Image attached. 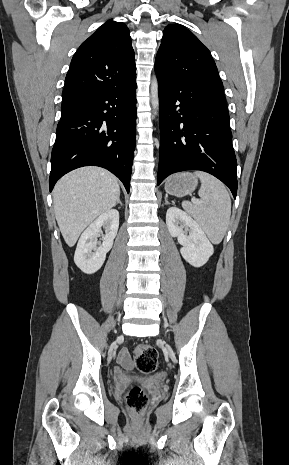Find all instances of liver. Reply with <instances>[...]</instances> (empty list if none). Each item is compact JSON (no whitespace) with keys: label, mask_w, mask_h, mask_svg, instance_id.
I'll return each instance as SVG.
<instances>
[{"label":"liver","mask_w":289,"mask_h":465,"mask_svg":"<svg viewBox=\"0 0 289 465\" xmlns=\"http://www.w3.org/2000/svg\"><path fill=\"white\" fill-rule=\"evenodd\" d=\"M120 196L117 178L100 167H83L62 177L53 190L55 217L69 247L92 221L113 208Z\"/></svg>","instance_id":"obj_1"}]
</instances>
